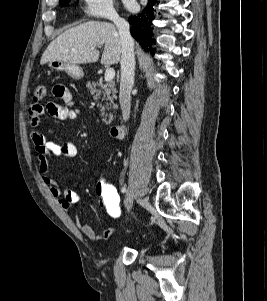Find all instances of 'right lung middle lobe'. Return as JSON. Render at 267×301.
I'll list each match as a JSON object with an SVG mask.
<instances>
[{
	"label": "right lung middle lobe",
	"mask_w": 267,
	"mask_h": 301,
	"mask_svg": "<svg viewBox=\"0 0 267 301\" xmlns=\"http://www.w3.org/2000/svg\"><path fill=\"white\" fill-rule=\"evenodd\" d=\"M70 1H71V0H60V4H61L62 6H65V5H67Z\"/></svg>",
	"instance_id": "1"
}]
</instances>
